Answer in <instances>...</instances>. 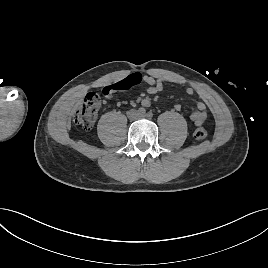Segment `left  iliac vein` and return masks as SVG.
Wrapping results in <instances>:
<instances>
[{"label":"left iliac vein","instance_id":"left-iliac-vein-1","mask_svg":"<svg viewBox=\"0 0 268 268\" xmlns=\"http://www.w3.org/2000/svg\"><path fill=\"white\" fill-rule=\"evenodd\" d=\"M145 117H147V115H144V114L139 115V118H145Z\"/></svg>","mask_w":268,"mask_h":268}]
</instances>
